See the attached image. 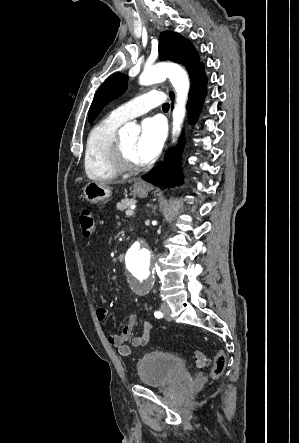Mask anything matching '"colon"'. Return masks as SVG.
<instances>
[{"label":"colon","mask_w":299,"mask_h":443,"mask_svg":"<svg viewBox=\"0 0 299 443\" xmlns=\"http://www.w3.org/2000/svg\"><path fill=\"white\" fill-rule=\"evenodd\" d=\"M78 221L80 224L81 232L84 237H90L95 230V221L90 210L83 209L78 214ZM194 359L198 367H204L211 363L209 357L202 352H195ZM226 367V356L222 350H218L213 360V367L211 370V376L213 379H218L224 373Z\"/></svg>","instance_id":"obj_1"}]
</instances>
